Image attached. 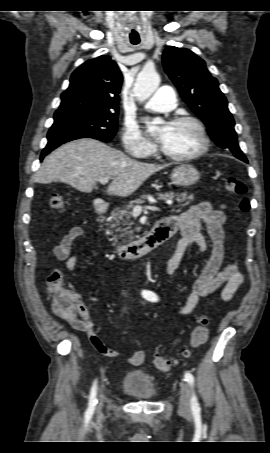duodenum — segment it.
<instances>
[{
  "instance_id": "duodenum-1",
  "label": "duodenum",
  "mask_w": 270,
  "mask_h": 453,
  "mask_svg": "<svg viewBox=\"0 0 270 453\" xmlns=\"http://www.w3.org/2000/svg\"><path fill=\"white\" fill-rule=\"evenodd\" d=\"M96 212L97 214H106L108 212V208L105 206H98L96 208ZM175 232V227H173L170 223L161 220L148 232L146 236L121 246L118 249V254L125 259H135L141 257L150 250L168 241Z\"/></svg>"
}]
</instances>
